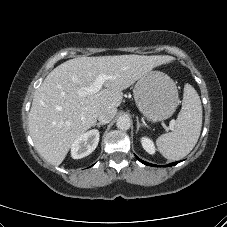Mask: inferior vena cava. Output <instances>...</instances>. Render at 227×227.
Masks as SVG:
<instances>
[{
	"instance_id": "602c4592",
	"label": "inferior vena cava",
	"mask_w": 227,
	"mask_h": 227,
	"mask_svg": "<svg viewBox=\"0 0 227 227\" xmlns=\"http://www.w3.org/2000/svg\"><path fill=\"white\" fill-rule=\"evenodd\" d=\"M117 113V109L113 107H104L98 114V120L102 123H109Z\"/></svg>"
}]
</instances>
